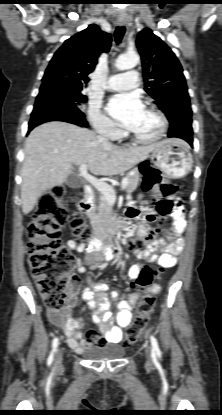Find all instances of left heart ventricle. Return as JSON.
<instances>
[{
  "instance_id": "1",
  "label": "left heart ventricle",
  "mask_w": 222,
  "mask_h": 415,
  "mask_svg": "<svg viewBox=\"0 0 222 415\" xmlns=\"http://www.w3.org/2000/svg\"><path fill=\"white\" fill-rule=\"evenodd\" d=\"M129 129L144 138H151L157 134L160 129V120L150 110L143 108L135 122Z\"/></svg>"
}]
</instances>
